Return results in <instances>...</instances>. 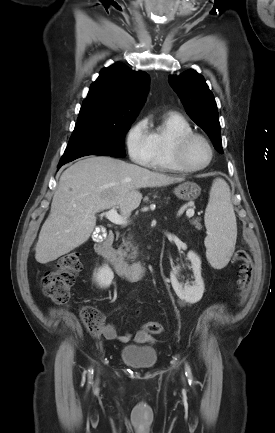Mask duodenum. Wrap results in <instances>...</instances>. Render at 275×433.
Returning <instances> with one entry per match:
<instances>
[{"label":"duodenum","mask_w":275,"mask_h":433,"mask_svg":"<svg viewBox=\"0 0 275 433\" xmlns=\"http://www.w3.org/2000/svg\"><path fill=\"white\" fill-rule=\"evenodd\" d=\"M114 233L108 232L104 238H98L95 243L96 251L110 263L116 273L128 281L141 280L148 274L144 263H128L113 247Z\"/></svg>","instance_id":"1"}]
</instances>
